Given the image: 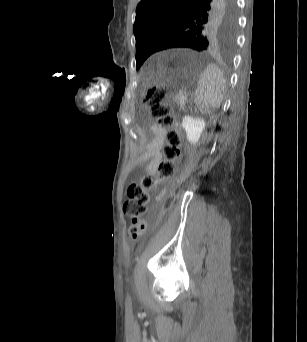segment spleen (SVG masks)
Instances as JSON below:
<instances>
[{
  "label": "spleen",
  "mask_w": 307,
  "mask_h": 342,
  "mask_svg": "<svg viewBox=\"0 0 307 342\" xmlns=\"http://www.w3.org/2000/svg\"><path fill=\"white\" fill-rule=\"evenodd\" d=\"M225 88L226 84L220 68L216 64H208L199 76L194 94L202 114H217V108H220L224 98Z\"/></svg>",
  "instance_id": "spleen-1"
}]
</instances>
